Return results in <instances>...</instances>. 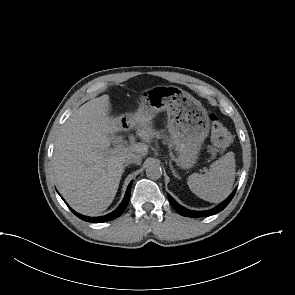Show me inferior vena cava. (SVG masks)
Masks as SVG:
<instances>
[{
	"mask_svg": "<svg viewBox=\"0 0 295 295\" xmlns=\"http://www.w3.org/2000/svg\"><path fill=\"white\" fill-rule=\"evenodd\" d=\"M142 160L141 155L135 154V153H129L124 157V164H131V163H135V164H140Z\"/></svg>",
	"mask_w": 295,
	"mask_h": 295,
	"instance_id": "obj_1",
	"label": "inferior vena cava"
}]
</instances>
